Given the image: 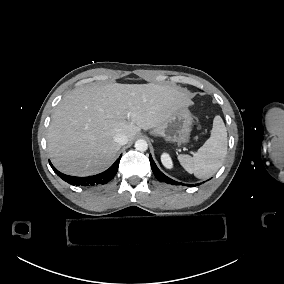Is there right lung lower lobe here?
<instances>
[{"mask_svg":"<svg viewBox=\"0 0 284 284\" xmlns=\"http://www.w3.org/2000/svg\"><path fill=\"white\" fill-rule=\"evenodd\" d=\"M122 156V155H121ZM121 156L115 161V163L106 171L89 177H74V176H68L61 172H59L49 161L52 169L54 172L60 176L64 181L68 182L71 185L76 186H93L98 184H106L108 183L117 173L119 162L121 159Z\"/></svg>","mask_w":284,"mask_h":284,"instance_id":"obj_1","label":"right lung lower lobe"}]
</instances>
